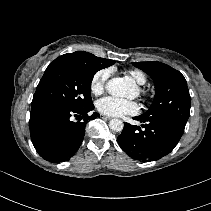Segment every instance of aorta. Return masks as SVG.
Returning <instances> with one entry per match:
<instances>
[{"mask_svg":"<svg viewBox=\"0 0 211 211\" xmlns=\"http://www.w3.org/2000/svg\"><path fill=\"white\" fill-rule=\"evenodd\" d=\"M131 87V81L125 78H112L106 84V90L109 94L117 97H125ZM111 130L120 132L123 130L124 124L119 119H112L109 122Z\"/></svg>","mask_w":211,"mask_h":211,"instance_id":"1","label":"aorta"}]
</instances>
